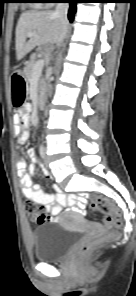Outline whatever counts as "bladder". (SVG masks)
<instances>
[{"mask_svg": "<svg viewBox=\"0 0 136 296\" xmlns=\"http://www.w3.org/2000/svg\"><path fill=\"white\" fill-rule=\"evenodd\" d=\"M79 231L69 230L58 223H44L32 232L35 258L41 262L60 260L77 242Z\"/></svg>", "mask_w": 136, "mask_h": 296, "instance_id": "obj_1", "label": "bladder"}]
</instances>
